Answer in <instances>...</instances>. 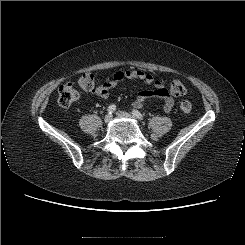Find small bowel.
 <instances>
[{"label":"small bowel","mask_w":245,"mask_h":245,"mask_svg":"<svg viewBox=\"0 0 245 245\" xmlns=\"http://www.w3.org/2000/svg\"><path fill=\"white\" fill-rule=\"evenodd\" d=\"M123 80H133L153 87L152 90L139 92L132 106L140 108L148 98H158L163 102L165 112H170L174 107V99L164 86L163 82L156 80L153 75L139 69L116 72L112 78L104 81L97 89L96 94L101 98H108L109 92Z\"/></svg>","instance_id":"1"}]
</instances>
